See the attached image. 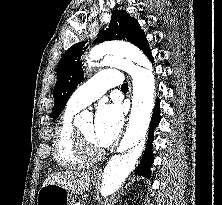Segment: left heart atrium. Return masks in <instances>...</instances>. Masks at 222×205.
Wrapping results in <instances>:
<instances>
[{"instance_id":"1","label":"left heart atrium","mask_w":222,"mask_h":205,"mask_svg":"<svg viewBox=\"0 0 222 205\" xmlns=\"http://www.w3.org/2000/svg\"><path fill=\"white\" fill-rule=\"evenodd\" d=\"M123 126V114L117 103L101 104L97 108L93 135L100 147H107L115 141Z\"/></svg>"}]
</instances>
